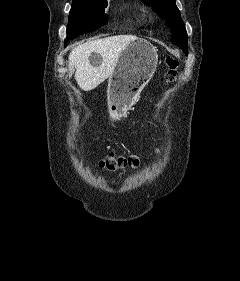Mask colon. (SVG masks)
Segmentation results:
<instances>
[{
	"label": "colon",
	"mask_w": 240,
	"mask_h": 281,
	"mask_svg": "<svg viewBox=\"0 0 240 281\" xmlns=\"http://www.w3.org/2000/svg\"><path fill=\"white\" fill-rule=\"evenodd\" d=\"M166 80L173 82L177 76L178 61L173 57L166 59ZM140 159L136 155H120L110 153L100 161V166L108 170H118L126 167H136L139 165Z\"/></svg>",
	"instance_id": "colon-1"
}]
</instances>
